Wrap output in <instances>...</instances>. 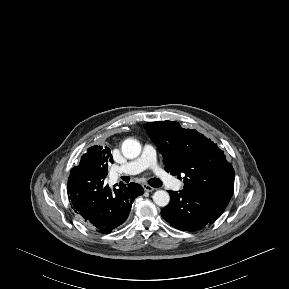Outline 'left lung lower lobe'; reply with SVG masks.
Wrapping results in <instances>:
<instances>
[{"label": "left lung lower lobe", "instance_id": "obj_1", "mask_svg": "<svg viewBox=\"0 0 289 289\" xmlns=\"http://www.w3.org/2000/svg\"><path fill=\"white\" fill-rule=\"evenodd\" d=\"M170 203L161 211L162 217L173 227L183 231H197L215 222L225 206L193 191H169Z\"/></svg>", "mask_w": 289, "mask_h": 289}]
</instances>
